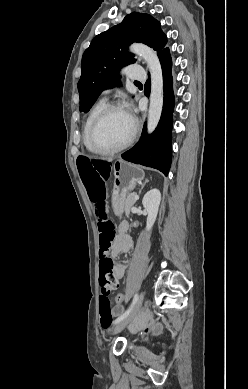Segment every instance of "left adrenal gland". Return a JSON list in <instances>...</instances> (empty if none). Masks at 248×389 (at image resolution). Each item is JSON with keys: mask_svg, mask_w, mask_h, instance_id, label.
Masks as SVG:
<instances>
[{"mask_svg": "<svg viewBox=\"0 0 248 389\" xmlns=\"http://www.w3.org/2000/svg\"><path fill=\"white\" fill-rule=\"evenodd\" d=\"M149 181L146 179L145 182L142 184L140 190H139V193L141 192V190L144 188V186L146 185V183H148Z\"/></svg>", "mask_w": 248, "mask_h": 389, "instance_id": "obj_1", "label": "left adrenal gland"}]
</instances>
